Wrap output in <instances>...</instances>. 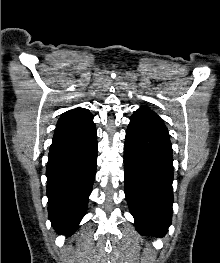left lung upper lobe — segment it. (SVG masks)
Wrapping results in <instances>:
<instances>
[{"label": "left lung upper lobe", "instance_id": "obj_1", "mask_svg": "<svg viewBox=\"0 0 220 263\" xmlns=\"http://www.w3.org/2000/svg\"><path fill=\"white\" fill-rule=\"evenodd\" d=\"M134 118L142 119L144 121L150 122L151 124L167 130L163 123V120L154 112L146 107H141L139 110L135 111L132 115Z\"/></svg>", "mask_w": 220, "mask_h": 263}]
</instances>
